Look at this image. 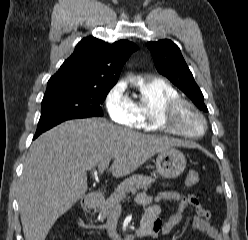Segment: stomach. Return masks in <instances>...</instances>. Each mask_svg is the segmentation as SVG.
<instances>
[{"label":"stomach","mask_w":248,"mask_h":240,"mask_svg":"<svg viewBox=\"0 0 248 240\" xmlns=\"http://www.w3.org/2000/svg\"><path fill=\"white\" fill-rule=\"evenodd\" d=\"M186 167V158L184 154L172 148L169 151L159 152L156 158V170L166 179L178 177Z\"/></svg>","instance_id":"0dacf381"}]
</instances>
